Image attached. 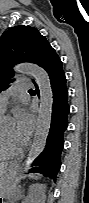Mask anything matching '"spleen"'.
I'll return each mask as SVG.
<instances>
[{
  "label": "spleen",
  "instance_id": "spleen-1",
  "mask_svg": "<svg viewBox=\"0 0 89 203\" xmlns=\"http://www.w3.org/2000/svg\"><path fill=\"white\" fill-rule=\"evenodd\" d=\"M33 178L38 179L39 177L37 175H32Z\"/></svg>",
  "mask_w": 89,
  "mask_h": 203
}]
</instances>
